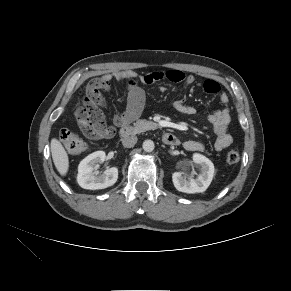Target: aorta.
Listing matches in <instances>:
<instances>
[{
    "mask_svg": "<svg viewBox=\"0 0 291 291\" xmlns=\"http://www.w3.org/2000/svg\"><path fill=\"white\" fill-rule=\"evenodd\" d=\"M144 151L152 152L154 150V142L152 140H145L142 145Z\"/></svg>",
    "mask_w": 291,
    "mask_h": 291,
    "instance_id": "obj_1",
    "label": "aorta"
}]
</instances>
